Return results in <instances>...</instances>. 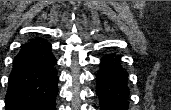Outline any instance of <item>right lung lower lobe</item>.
<instances>
[{
  "instance_id": "1",
  "label": "right lung lower lobe",
  "mask_w": 171,
  "mask_h": 110,
  "mask_svg": "<svg viewBox=\"0 0 171 110\" xmlns=\"http://www.w3.org/2000/svg\"><path fill=\"white\" fill-rule=\"evenodd\" d=\"M56 64L47 40L38 37L23 44L13 61L6 110H55Z\"/></svg>"
}]
</instances>
